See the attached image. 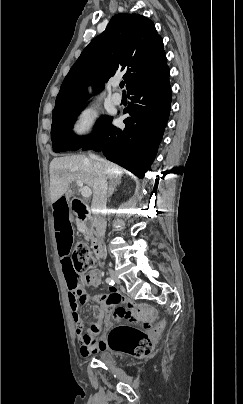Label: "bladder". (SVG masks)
Listing matches in <instances>:
<instances>
[{"mask_svg": "<svg viewBox=\"0 0 243 404\" xmlns=\"http://www.w3.org/2000/svg\"><path fill=\"white\" fill-rule=\"evenodd\" d=\"M98 359L101 363L105 365H112L114 363V358L111 352L103 350L98 354Z\"/></svg>", "mask_w": 243, "mask_h": 404, "instance_id": "31cf9c89", "label": "bladder"}]
</instances>
